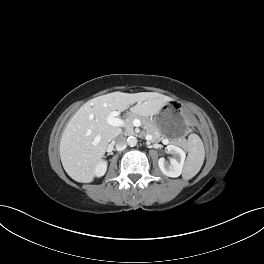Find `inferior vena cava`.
Segmentation results:
<instances>
[{
    "instance_id": "obj_1",
    "label": "inferior vena cava",
    "mask_w": 264,
    "mask_h": 264,
    "mask_svg": "<svg viewBox=\"0 0 264 264\" xmlns=\"http://www.w3.org/2000/svg\"><path fill=\"white\" fill-rule=\"evenodd\" d=\"M113 142L115 144L117 151H122L127 147L126 137H124L123 135H119L115 137Z\"/></svg>"
}]
</instances>
